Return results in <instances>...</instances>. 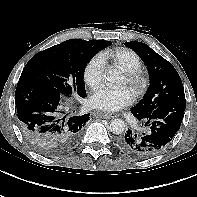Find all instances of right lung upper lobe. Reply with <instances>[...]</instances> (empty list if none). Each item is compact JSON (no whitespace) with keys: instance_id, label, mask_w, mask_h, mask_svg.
Segmentation results:
<instances>
[{"instance_id":"1","label":"right lung upper lobe","mask_w":197,"mask_h":197,"mask_svg":"<svg viewBox=\"0 0 197 197\" xmlns=\"http://www.w3.org/2000/svg\"><path fill=\"white\" fill-rule=\"evenodd\" d=\"M79 39H70V40H67V41H64L66 43H75V42H78Z\"/></svg>"}]
</instances>
